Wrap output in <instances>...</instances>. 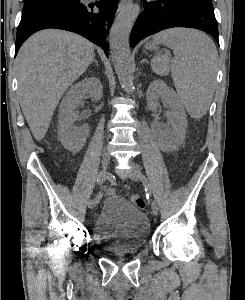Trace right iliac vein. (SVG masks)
<instances>
[{
	"label": "right iliac vein",
	"instance_id": "right-iliac-vein-1",
	"mask_svg": "<svg viewBox=\"0 0 245 300\" xmlns=\"http://www.w3.org/2000/svg\"><path fill=\"white\" fill-rule=\"evenodd\" d=\"M109 164H110V156H109V154L104 153L102 155V169H103V174H106V171L108 169ZM93 201H94V199H91L87 203L88 207L91 208V209L96 206Z\"/></svg>",
	"mask_w": 245,
	"mask_h": 300
}]
</instances>
